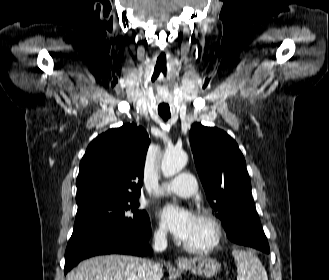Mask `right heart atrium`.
Returning a JSON list of instances; mask_svg holds the SVG:
<instances>
[{"label": "right heart atrium", "instance_id": "right-heart-atrium-1", "mask_svg": "<svg viewBox=\"0 0 329 280\" xmlns=\"http://www.w3.org/2000/svg\"><path fill=\"white\" fill-rule=\"evenodd\" d=\"M155 238L158 241H164L166 239V231L163 227H158L155 231Z\"/></svg>", "mask_w": 329, "mask_h": 280}]
</instances>
